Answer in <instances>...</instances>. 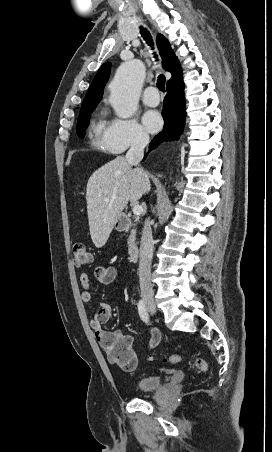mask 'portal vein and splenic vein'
I'll list each match as a JSON object with an SVG mask.
<instances>
[{"label":"portal vein and splenic vein","mask_w":272,"mask_h":452,"mask_svg":"<svg viewBox=\"0 0 272 452\" xmlns=\"http://www.w3.org/2000/svg\"><path fill=\"white\" fill-rule=\"evenodd\" d=\"M106 201H109V198L106 199ZM143 213V207L141 205H134L133 206V214L140 215Z\"/></svg>","instance_id":"portal-vein-and-splenic-vein-1"}]
</instances>
